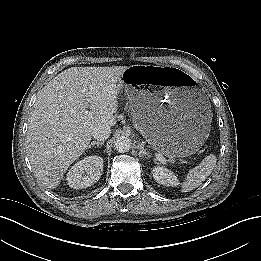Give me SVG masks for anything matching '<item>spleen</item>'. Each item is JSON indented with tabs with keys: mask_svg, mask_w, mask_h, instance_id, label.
<instances>
[{
	"mask_svg": "<svg viewBox=\"0 0 261 261\" xmlns=\"http://www.w3.org/2000/svg\"><path fill=\"white\" fill-rule=\"evenodd\" d=\"M217 162L214 154L206 156L201 163L191 169L181 184V191L186 193L194 190L212 173Z\"/></svg>",
	"mask_w": 261,
	"mask_h": 261,
	"instance_id": "3e777b00",
	"label": "spleen"
}]
</instances>
